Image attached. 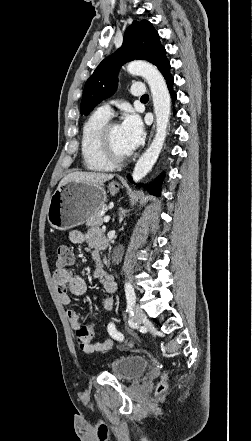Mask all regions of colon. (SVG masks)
<instances>
[{"label":"colon","instance_id":"colon-1","mask_svg":"<svg viewBox=\"0 0 252 441\" xmlns=\"http://www.w3.org/2000/svg\"><path fill=\"white\" fill-rule=\"evenodd\" d=\"M72 262V253L68 246L66 245H59L57 247V259H56V266L59 268L66 267ZM96 328V324H92L89 326H83L81 329L76 331V337L78 340V343L80 345V349L83 352H86L87 344L89 343V340L91 336L93 335ZM128 348H131L134 346L133 341H129L125 345ZM165 382L162 381L158 387V392H162L165 389Z\"/></svg>","mask_w":252,"mask_h":441}]
</instances>
